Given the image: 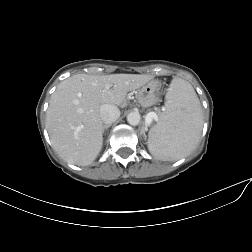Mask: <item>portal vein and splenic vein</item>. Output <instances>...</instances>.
Masks as SVG:
<instances>
[{
	"instance_id": "18ae733b",
	"label": "portal vein and splenic vein",
	"mask_w": 252,
	"mask_h": 252,
	"mask_svg": "<svg viewBox=\"0 0 252 252\" xmlns=\"http://www.w3.org/2000/svg\"><path fill=\"white\" fill-rule=\"evenodd\" d=\"M153 120L157 121L158 120V115L155 112H149L146 115L145 121H146L147 124H150Z\"/></svg>"
}]
</instances>
